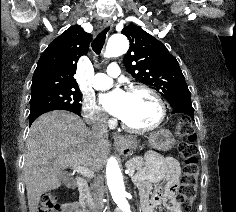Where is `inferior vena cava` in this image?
<instances>
[{"instance_id":"602c4592","label":"inferior vena cava","mask_w":236,"mask_h":212,"mask_svg":"<svg viewBox=\"0 0 236 212\" xmlns=\"http://www.w3.org/2000/svg\"><path fill=\"white\" fill-rule=\"evenodd\" d=\"M93 134L100 139H107L108 138V128L105 120H101L97 125L93 127ZM94 201L96 204L97 212H100L103 207V179L101 176H98L94 179Z\"/></svg>"}]
</instances>
